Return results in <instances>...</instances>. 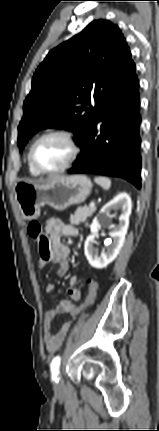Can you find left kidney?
Masks as SVG:
<instances>
[{"label":"left kidney","instance_id":"1","mask_svg":"<svg viewBox=\"0 0 159 431\" xmlns=\"http://www.w3.org/2000/svg\"><path fill=\"white\" fill-rule=\"evenodd\" d=\"M132 202L127 193L118 194L113 200L104 205L94 218L90 229L91 234L87 237L84 244L85 256L89 264L96 269H103L110 264L119 254L125 240V235L129 226V216L131 214ZM120 211L119 223L113 225V230L109 233L112 241L107 245L100 255L93 244L98 237V231L101 226H108L111 221L110 212Z\"/></svg>","mask_w":159,"mask_h":431}]
</instances>
